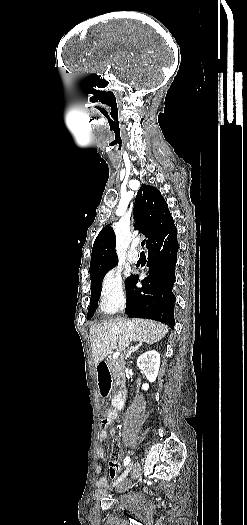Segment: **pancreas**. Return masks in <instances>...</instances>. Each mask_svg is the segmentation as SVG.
<instances>
[{"label": "pancreas", "mask_w": 247, "mask_h": 525, "mask_svg": "<svg viewBox=\"0 0 247 525\" xmlns=\"http://www.w3.org/2000/svg\"><path fill=\"white\" fill-rule=\"evenodd\" d=\"M109 369H111V373L117 383L119 385L120 381H123L124 379V373L122 371L121 365H119L118 359L113 360L111 357H108L106 361Z\"/></svg>", "instance_id": "pancreas-1"}]
</instances>
